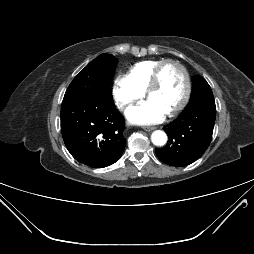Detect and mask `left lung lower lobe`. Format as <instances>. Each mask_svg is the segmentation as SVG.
Instances as JSON below:
<instances>
[{"mask_svg": "<svg viewBox=\"0 0 254 254\" xmlns=\"http://www.w3.org/2000/svg\"><path fill=\"white\" fill-rule=\"evenodd\" d=\"M215 118V104L189 103L177 119L164 126L169 140L156 149L158 158L175 167L199 159L211 142Z\"/></svg>", "mask_w": 254, "mask_h": 254, "instance_id": "obj_1", "label": "left lung lower lobe"}]
</instances>
